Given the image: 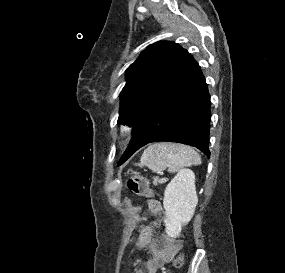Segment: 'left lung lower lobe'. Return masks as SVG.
<instances>
[{
	"mask_svg": "<svg viewBox=\"0 0 285 273\" xmlns=\"http://www.w3.org/2000/svg\"><path fill=\"white\" fill-rule=\"evenodd\" d=\"M210 95L200 66L190 55L169 91L134 126L133 139L118 166L151 142L192 145L210 157Z\"/></svg>",
	"mask_w": 285,
	"mask_h": 273,
	"instance_id": "0a47b994",
	"label": "left lung lower lobe"
}]
</instances>
